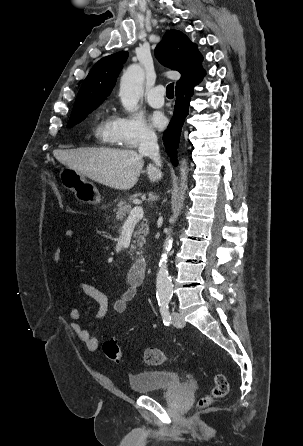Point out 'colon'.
<instances>
[{
	"label": "colon",
	"mask_w": 303,
	"mask_h": 446,
	"mask_svg": "<svg viewBox=\"0 0 303 446\" xmlns=\"http://www.w3.org/2000/svg\"><path fill=\"white\" fill-rule=\"evenodd\" d=\"M51 188L53 193L57 197L61 206H64V194L59 190L54 183H51ZM103 352L106 357L117 364H121L123 361V353L118 345L117 341L114 339H107L103 343ZM143 360L147 365L158 366L165 363L168 360V356L165 352L158 348H147L143 353ZM213 388L211 393L204 396L199 401L200 406H207L213 401L225 397L228 393V381L222 373H216L213 378Z\"/></svg>",
	"instance_id": "5ec220e1"
}]
</instances>
